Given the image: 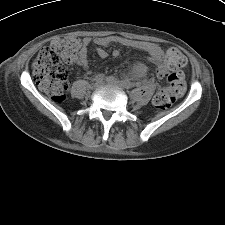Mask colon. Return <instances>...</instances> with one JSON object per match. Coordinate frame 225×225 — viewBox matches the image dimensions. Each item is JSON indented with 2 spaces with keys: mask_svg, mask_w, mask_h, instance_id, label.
Masks as SVG:
<instances>
[{
  "mask_svg": "<svg viewBox=\"0 0 225 225\" xmlns=\"http://www.w3.org/2000/svg\"><path fill=\"white\" fill-rule=\"evenodd\" d=\"M79 41L73 36H60L44 47L33 63L32 73L39 88L55 102L64 100L68 89L65 64H72L78 58ZM185 55L176 48L166 52L165 64L157 70L160 78H166L168 85L158 90L153 105L160 110L169 109L183 94L185 77L182 68L186 65Z\"/></svg>",
  "mask_w": 225,
  "mask_h": 225,
  "instance_id": "colon-1",
  "label": "colon"
}]
</instances>
